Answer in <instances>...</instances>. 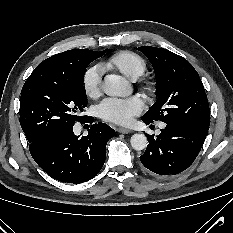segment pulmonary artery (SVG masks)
<instances>
[{
  "label": "pulmonary artery",
  "mask_w": 233,
  "mask_h": 233,
  "mask_svg": "<svg viewBox=\"0 0 233 233\" xmlns=\"http://www.w3.org/2000/svg\"><path fill=\"white\" fill-rule=\"evenodd\" d=\"M160 127H161V128H164V127H165V124H161Z\"/></svg>",
  "instance_id": "pulmonary-artery-1"
}]
</instances>
